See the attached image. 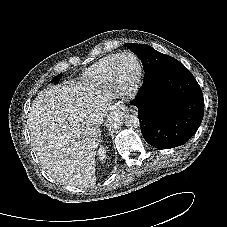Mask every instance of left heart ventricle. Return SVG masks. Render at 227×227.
Returning a JSON list of instances; mask_svg holds the SVG:
<instances>
[{
	"label": "left heart ventricle",
	"mask_w": 227,
	"mask_h": 227,
	"mask_svg": "<svg viewBox=\"0 0 227 227\" xmlns=\"http://www.w3.org/2000/svg\"><path fill=\"white\" fill-rule=\"evenodd\" d=\"M136 69V61L132 57L127 56L121 61L119 73L124 81H129L135 75Z\"/></svg>",
	"instance_id": "1"
}]
</instances>
